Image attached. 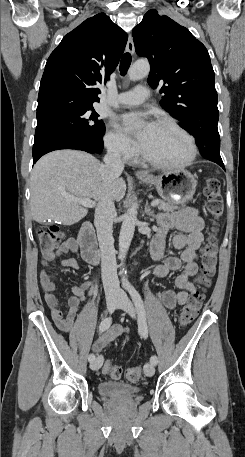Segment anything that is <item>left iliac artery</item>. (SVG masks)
<instances>
[{
  "instance_id": "left-iliac-artery-1",
  "label": "left iliac artery",
  "mask_w": 245,
  "mask_h": 457,
  "mask_svg": "<svg viewBox=\"0 0 245 457\" xmlns=\"http://www.w3.org/2000/svg\"><path fill=\"white\" fill-rule=\"evenodd\" d=\"M126 288L137 309V313H138V317H139V333L144 338H147L148 337V327H147V319H146V310H145L143 300L134 286L128 285ZM150 362L152 364L156 365L158 362L157 356L156 355L151 356Z\"/></svg>"
}]
</instances>
